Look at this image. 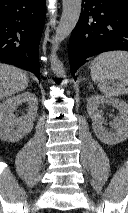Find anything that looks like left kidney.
<instances>
[{"instance_id": "5707ae66", "label": "left kidney", "mask_w": 128, "mask_h": 213, "mask_svg": "<svg viewBox=\"0 0 128 213\" xmlns=\"http://www.w3.org/2000/svg\"><path fill=\"white\" fill-rule=\"evenodd\" d=\"M102 105H111L119 111L113 123V132L107 131L103 124ZM87 111L92 119V128L96 137L103 143L115 145L128 138V104L120 99L94 95L87 99Z\"/></svg>"}]
</instances>
